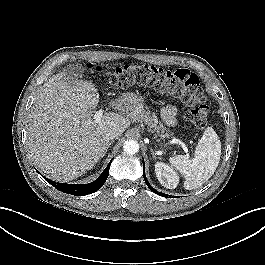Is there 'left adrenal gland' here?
<instances>
[{"label": "left adrenal gland", "mask_w": 265, "mask_h": 265, "mask_svg": "<svg viewBox=\"0 0 265 265\" xmlns=\"http://www.w3.org/2000/svg\"><path fill=\"white\" fill-rule=\"evenodd\" d=\"M150 150H151V154H152L153 158H156V154L154 153L153 149L151 148Z\"/></svg>", "instance_id": "obj_1"}]
</instances>
